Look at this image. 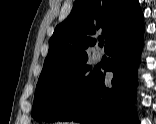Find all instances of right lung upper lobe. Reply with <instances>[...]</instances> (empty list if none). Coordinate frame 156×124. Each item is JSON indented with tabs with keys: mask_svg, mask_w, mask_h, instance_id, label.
I'll return each instance as SVG.
<instances>
[{
	"mask_svg": "<svg viewBox=\"0 0 156 124\" xmlns=\"http://www.w3.org/2000/svg\"><path fill=\"white\" fill-rule=\"evenodd\" d=\"M138 0H77L68 18L49 40V52L39 77L87 62L93 38H105V51L123 34L143 27Z\"/></svg>",
	"mask_w": 156,
	"mask_h": 124,
	"instance_id": "1",
	"label": "right lung upper lobe"
}]
</instances>
